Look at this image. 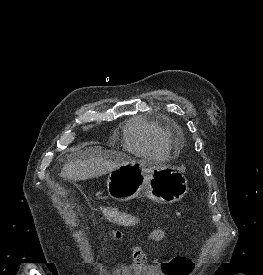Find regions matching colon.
Returning <instances> with one entry per match:
<instances>
[{
  "instance_id": "colon-1",
  "label": "colon",
  "mask_w": 263,
  "mask_h": 275,
  "mask_svg": "<svg viewBox=\"0 0 263 275\" xmlns=\"http://www.w3.org/2000/svg\"><path fill=\"white\" fill-rule=\"evenodd\" d=\"M99 212L105 220L122 227H135L140 223L139 217L112 206H101ZM186 257H174L169 261L168 275H184L191 266Z\"/></svg>"
}]
</instances>
